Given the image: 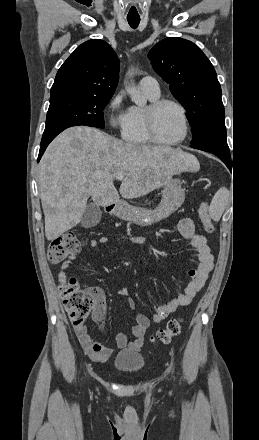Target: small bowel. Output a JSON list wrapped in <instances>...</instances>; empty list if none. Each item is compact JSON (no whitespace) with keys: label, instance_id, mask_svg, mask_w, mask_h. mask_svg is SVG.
<instances>
[{"label":"small bowel","instance_id":"obj_1","mask_svg":"<svg viewBox=\"0 0 259 440\" xmlns=\"http://www.w3.org/2000/svg\"><path fill=\"white\" fill-rule=\"evenodd\" d=\"M176 228L180 235L190 244L196 254V266L190 269L187 273L189 277V282L181 293L172 298L166 304L157 306L155 308L154 314L150 317L135 310V301L132 297L129 296L128 289H120L118 291V294L128 297L127 305L129 309L134 311L136 325L133 326L129 335L125 333H118L115 336V345L118 348L128 346L133 350H139L143 345L144 335L149 326L152 324H157L163 319L167 318L179 307L190 304L196 294L204 286L208 275L213 268L214 257L211 253V249L207 244L206 238L203 235L196 233L193 221L189 218H184L177 223ZM119 240L138 243L142 239L136 236L123 235L119 237ZM108 241V237L102 236L100 238L92 239L90 241V245L91 247L95 248L102 244H106ZM75 259V255L71 256L68 260L64 261L61 264L58 274V278L61 283L66 282V270L70 267L72 261H74ZM140 259L147 269H152L148 262L142 256H140ZM91 290L95 298L93 319L100 327H102L106 315L105 298L99 288H91ZM75 334L81 346L92 360L104 362L113 353L112 348L104 346L103 344L95 341L88 332V329L85 325L75 326Z\"/></svg>","mask_w":259,"mask_h":440}]
</instances>
